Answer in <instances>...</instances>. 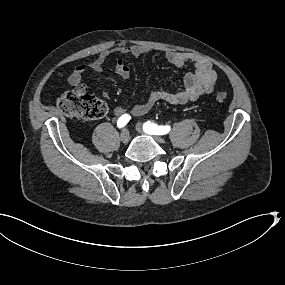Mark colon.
Wrapping results in <instances>:
<instances>
[{
  "instance_id": "obj_1",
  "label": "colon",
  "mask_w": 285,
  "mask_h": 285,
  "mask_svg": "<svg viewBox=\"0 0 285 285\" xmlns=\"http://www.w3.org/2000/svg\"><path fill=\"white\" fill-rule=\"evenodd\" d=\"M215 98L222 103L227 99V93L219 91ZM57 106L71 119L95 120L104 117L107 113V106L102 100L78 90L62 94L57 101Z\"/></svg>"
}]
</instances>
